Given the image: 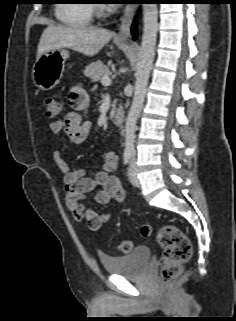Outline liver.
I'll return each instance as SVG.
<instances>
[{
  "instance_id": "1",
  "label": "liver",
  "mask_w": 236,
  "mask_h": 321,
  "mask_svg": "<svg viewBox=\"0 0 236 321\" xmlns=\"http://www.w3.org/2000/svg\"><path fill=\"white\" fill-rule=\"evenodd\" d=\"M107 29L88 26L49 25L39 41L37 58L57 48H71L86 56L96 55L112 38Z\"/></svg>"
}]
</instances>
